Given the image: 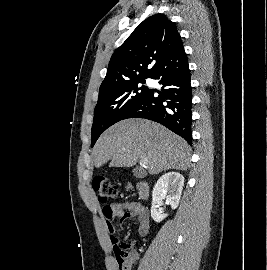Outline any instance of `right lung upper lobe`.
<instances>
[{
  "label": "right lung upper lobe",
  "instance_id": "cb5924a9",
  "mask_svg": "<svg viewBox=\"0 0 267 270\" xmlns=\"http://www.w3.org/2000/svg\"><path fill=\"white\" fill-rule=\"evenodd\" d=\"M180 44L182 40L173 22L163 14L150 16L114 51L99 91L150 77Z\"/></svg>",
  "mask_w": 267,
  "mask_h": 270
}]
</instances>
